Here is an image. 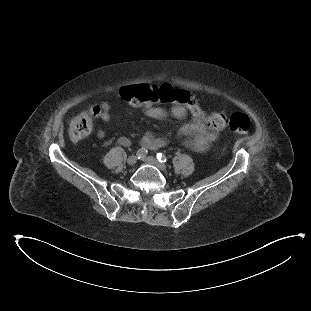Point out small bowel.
<instances>
[{"mask_svg":"<svg viewBox=\"0 0 311 311\" xmlns=\"http://www.w3.org/2000/svg\"><path fill=\"white\" fill-rule=\"evenodd\" d=\"M164 87V86H163ZM111 105L104 103L103 110L100 114V119L103 122H109ZM144 114L155 120H162L168 116L176 119H184L187 116V110L181 105L173 106L170 110L157 107L151 104L144 105ZM98 136L103 137V132L99 131ZM179 137L182 139L184 145L190 150L195 152H204L208 149L209 145L216 139L214 132H208L206 128L199 122H192L183 126L179 130ZM119 142L127 146L130 141L126 137H121ZM166 141L163 138L154 136L152 133H146L141 139V144L147 149H157L165 145Z\"/></svg>","mask_w":311,"mask_h":311,"instance_id":"1","label":"small bowel"}]
</instances>
